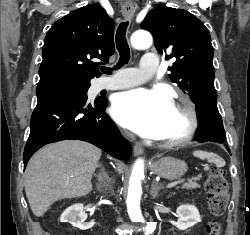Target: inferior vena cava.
I'll list each match as a JSON object with an SVG mask.
<instances>
[{"label":"inferior vena cava","mask_w":250,"mask_h":235,"mask_svg":"<svg viewBox=\"0 0 250 235\" xmlns=\"http://www.w3.org/2000/svg\"><path fill=\"white\" fill-rule=\"evenodd\" d=\"M130 136H131V135H130ZM131 137H132V136H131ZM105 179L107 180V182H110V180L108 179V176L105 177V176L99 175V180H100V182H103Z\"/></svg>","instance_id":"obj_1"}]
</instances>
